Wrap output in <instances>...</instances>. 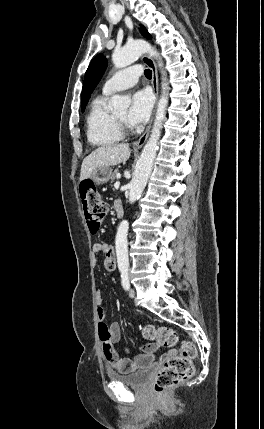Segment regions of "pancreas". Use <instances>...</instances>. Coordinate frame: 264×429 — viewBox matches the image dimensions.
<instances>
[{
    "label": "pancreas",
    "instance_id": "obj_1",
    "mask_svg": "<svg viewBox=\"0 0 264 429\" xmlns=\"http://www.w3.org/2000/svg\"><path fill=\"white\" fill-rule=\"evenodd\" d=\"M117 172H118V170H115L114 173L112 174V176L110 178L111 179V183H113L116 180V178H117V176H116Z\"/></svg>",
    "mask_w": 264,
    "mask_h": 429
}]
</instances>
